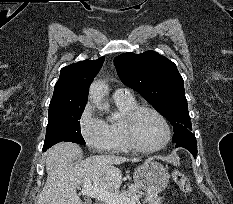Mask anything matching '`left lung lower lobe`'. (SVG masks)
<instances>
[{"label": "left lung lower lobe", "instance_id": "1", "mask_svg": "<svg viewBox=\"0 0 233 204\" xmlns=\"http://www.w3.org/2000/svg\"><path fill=\"white\" fill-rule=\"evenodd\" d=\"M176 146H179V145H176ZM179 147L186 148L187 150H189L193 154V156L197 155V144H196V141H194V140L189 141L187 144H183Z\"/></svg>", "mask_w": 233, "mask_h": 204}]
</instances>
